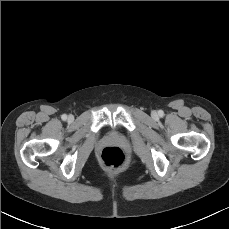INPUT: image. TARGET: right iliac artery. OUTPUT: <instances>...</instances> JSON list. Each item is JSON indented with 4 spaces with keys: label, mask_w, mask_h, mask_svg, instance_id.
Returning <instances> with one entry per match:
<instances>
[{
    "label": "right iliac artery",
    "mask_w": 229,
    "mask_h": 229,
    "mask_svg": "<svg viewBox=\"0 0 229 229\" xmlns=\"http://www.w3.org/2000/svg\"><path fill=\"white\" fill-rule=\"evenodd\" d=\"M67 119V115L66 114H63L62 115V120H66Z\"/></svg>",
    "instance_id": "obj_1"
}]
</instances>
